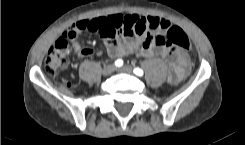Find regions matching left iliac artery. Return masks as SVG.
<instances>
[{"mask_svg": "<svg viewBox=\"0 0 245 145\" xmlns=\"http://www.w3.org/2000/svg\"><path fill=\"white\" fill-rule=\"evenodd\" d=\"M134 73L138 76H142L144 74L143 70L138 67L134 69Z\"/></svg>", "mask_w": 245, "mask_h": 145, "instance_id": "obj_1", "label": "left iliac artery"}]
</instances>
